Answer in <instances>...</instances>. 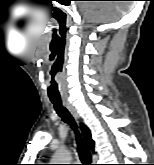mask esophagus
<instances>
[{
  "mask_svg": "<svg viewBox=\"0 0 154 165\" xmlns=\"http://www.w3.org/2000/svg\"><path fill=\"white\" fill-rule=\"evenodd\" d=\"M63 105L69 110V112L77 119L78 113L76 112L75 108L71 105L70 102L66 99H62Z\"/></svg>",
  "mask_w": 154,
  "mask_h": 165,
  "instance_id": "1",
  "label": "esophagus"
}]
</instances>
